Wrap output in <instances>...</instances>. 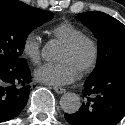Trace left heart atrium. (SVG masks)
Wrapping results in <instances>:
<instances>
[{"label": "left heart atrium", "instance_id": "left-heart-atrium-1", "mask_svg": "<svg viewBox=\"0 0 125 125\" xmlns=\"http://www.w3.org/2000/svg\"><path fill=\"white\" fill-rule=\"evenodd\" d=\"M78 75L76 68L67 60L46 63L35 70L34 77L41 82L61 86L73 82Z\"/></svg>", "mask_w": 125, "mask_h": 125}]
</instances>
